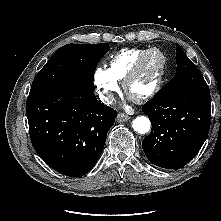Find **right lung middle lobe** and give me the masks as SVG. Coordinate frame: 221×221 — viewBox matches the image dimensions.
Instances as JSON below:
<instances>
[{
  "mask_svg": "<svg viewBox=\"0 0 221 221\" xmlns=\"http://www.w3.org/2000/svg\"><path fill=\"white\" fill-rule=\"evenodd\" d=\"M108 50L107 43L66 44L55 52L35 76L29 94L66 87L94 90L96 66Z\"/></svg>",
  "mask_w": 221,
  "mask_h": 221,
  "instance_id": "obj_1",
  "label": "right lung middle lobe"
}]
</instances>
